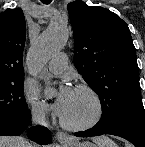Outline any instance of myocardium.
<instances>
[{"label":"myocardium","mask_w":145,"mask_h":147,"mask_svg":"<svg viewBox=\"0 0 145 147\" xmlns=\"http://www.w3.org/2000/svg\"><path fill=\"white\" fill-rule=\"evenodd\" d=\"M75 90L83 91L91 97L95 107L94 114L89 120L78 124L69 123L61 116L60 124L63 128L69 131H74V132L86 131L95 127L102 120L104 115L103 103L98 93L88 85L85 84L78 85L76 86Z\"/></svg>","instance_id":"myocardium-1"}]
</instances>
